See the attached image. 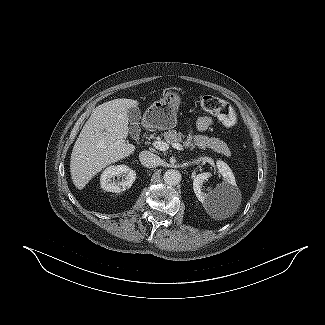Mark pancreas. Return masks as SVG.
<instances>
[{"label": "pancreas", "instance_id": "1", "mask_svg": "<svg viewBox=\"0 0 325 325\" xmlns=\"http://www.w3.org/2000/svg\"><path fill=\"white\" fill-rule=\"evenodd\" d=\"M163 136L166 142L170 144L183 143L185 147L195 148L198 146L202 149L209 148L227 157L231 156V151L229 150L227 144L219 138H209L205 135H194L184 140L185 135H183L181 132H177L176 130H168L167 132H164Z\"/></svg>", "mask_w": 325, "mask_h": 325}]
</instances>
